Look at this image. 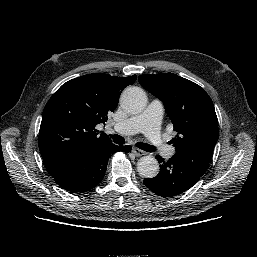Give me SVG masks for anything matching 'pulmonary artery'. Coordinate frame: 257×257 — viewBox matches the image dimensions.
<instances>
[{"label":"pulmonary artery","mask_w":257,"mask_h":257,"mask_svg":"<svg viewBox=\"0 0 257 257\" xmlns=\"http://www.w3.org/2000/svg\"><path fill=\"white\" fill-rule=\"evenodd\" d=\"M163 110L162 102L154 99L142 113L124 121L114 122V129L126 135L143 132L161 156L167 159L171 158L174 154V148L165 143L160 132Z\"/></svg>","instance_id":"e3ab8cb5"}]
</instances>
